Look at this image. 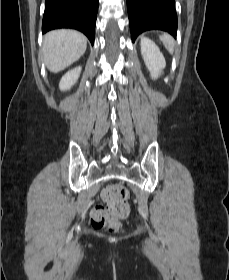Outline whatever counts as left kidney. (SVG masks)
I'll use <instances>...</instances> for the list:
<instances>
[{
  "mask_svg": "<svg viewBox=\"0 0 229 280\" xmlns=\"http://www.w3.org/2000/svg\"><path fill=\"white\" fill-rule=\"evenodd\" d=\"M141 54L152 79H157L166 66L165 58L158 46L146 37L141 38Z\"/></svg>",
  "mask_w": 229,
  "mask_h": 280,
  "instance_id": "5707ae66",
  "label": "left kidney"
}]
</instances>
